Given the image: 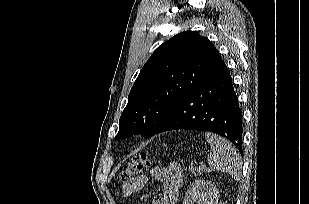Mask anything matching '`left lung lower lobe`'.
Listing matches in <instances>:
<instances>
[{
    "label": "left lung lower lobe",
    "instance_id": "obj_1",
    "mask_svg": "<svg viewBox=\"0 0 309 204\" xmlns=\"http://www.w3.org/2000/svg\"><path fill=\"white\" fill-rule=\"evenodd\" d=\"M177 129L216 133L243 152L242 113L225 63L182 99L151 136Z\"/></svg>",
    "mask_w": 309,
    "mask_h": 204
}]
</instances>
